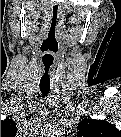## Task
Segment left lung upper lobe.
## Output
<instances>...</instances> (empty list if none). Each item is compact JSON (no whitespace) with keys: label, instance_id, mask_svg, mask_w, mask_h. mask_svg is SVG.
Here are the masks:
<instances>
[{"label":"left lung upper lobe","instance_id":"1","mask_svg":"<svg viewBox=\"0 0 121 137\" xmlns=\"http://www.w3.org/2000/svg\"><path fill=\"white\" fill-rule=\"evenodd\" d=\"M78 133L81 136L95 137V136H106V135H118L119 131L111 125L109 122L104 120L95 119H84L77 127Z\"/></svg>","mask_w":121,"mask_h":137}]
</instances>
